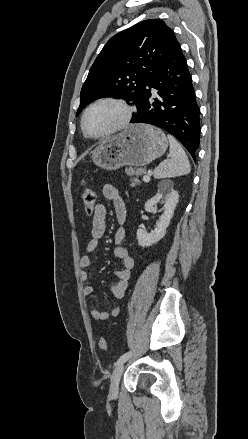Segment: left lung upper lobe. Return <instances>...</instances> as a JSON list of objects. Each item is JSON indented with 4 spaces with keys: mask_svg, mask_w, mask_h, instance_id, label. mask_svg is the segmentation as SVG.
Returning <instances> with one entry per match:
<instances>
[{
    "mask_svg": "<svg viewBox=\"0 0 248 439\" xmlns=\"http://www.w3.org/2000/svg\"><path fill=\"white\" fill-rule=\"evenodd\" d=\"M178 41L160 19H150L114 35L94 61L82 86L77 115L103 97L141 106L147 85Z\"/></svg>",
    "mask_w": 248,
    "mask_h": 439,
    "instance_id": "5c2ea615",
    "label": "left lung upper lobe"
}]
</instances>
